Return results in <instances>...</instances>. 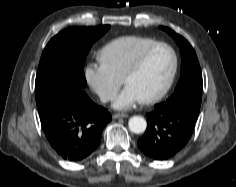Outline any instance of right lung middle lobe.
Returning a JSON list of instances; mask_svg holds the SVG:
<instances>
[{"label": "right lung middle lobe", "mask_w": 236, "mask_h": 187, "mask_svg": "<svg viewBox=\"0 0 236 187\" xmlns=\"http://www.w3.org/2000/svg\"><path fill=\"white\" fill-rule=\"evenodd\" d=\"M110 25L71 27L54 36L46 45L35 81L36 103L54 89L86 87L84 64L95 41L103 36Z\"/></svg>", "instance_id": "obj_1"}]
</instances>
